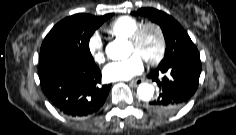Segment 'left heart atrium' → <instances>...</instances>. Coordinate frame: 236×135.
Wrapping results in <instances>:
<instances>
[{"instance_id":"1","label":"left heart atrium","mask_w":236,"mask_h":135,"mask_svg":"<svg viewBox=\"0 0 236 135\" xmlns=\"http://www.w3.org/2000/svg\"><path fill=\"white\" fill-rule=\"evenodd\" d=\"M143 68L142 58L134 54L127 59L107 64L103 70V75L110 81L128 80L140 74Z\"/></svg>"}]
</instances>
